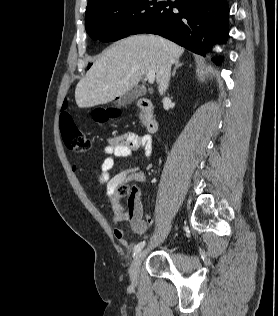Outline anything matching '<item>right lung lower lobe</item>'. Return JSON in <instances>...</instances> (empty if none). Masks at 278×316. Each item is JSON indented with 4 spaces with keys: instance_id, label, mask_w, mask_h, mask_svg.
<instances>
[{
    "instance_id": "right-lung-lower-lobe-1",
    "label": "right lung lower lobe",
    "mask_w": 278,
    "mask_h": 316,
    "mask_svg": "<svg viewBox=\"0 0 278 316\" xmlns=\"http://www.w3.org/2000/svg\"><path fill=\"white\" fill-rule=\"evenodd\" d=\"M173 8L178 11H173ZM228 14L226 0L160 2L152 17L132 34L161 35L197 54H205L206 50H211L213 42L224 43L227 39Z\"/></svg>"
}]
</instances>
